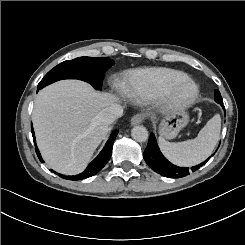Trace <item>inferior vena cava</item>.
I'll return each instance as SVG.
<instances>
[{
    "mask_svg": "<svg viewBox=\"0 0 245 245\" xmlns=\"http://www.w3.org/2000/svg\"><path fill=\"white\" fill-rule=\"evenodd\" d=\"M123 113L122 107L117 104H111L108 107H106L100 114L99 119L102 124L110 125L114 123L119 117H121Z\"/></svg>",
    "mask_w": 245,
    "mask_h": 245,
    "instance_id": "inferior-vena-cava-1",
    "label": "inferior vena cava"
}]
</instances>
